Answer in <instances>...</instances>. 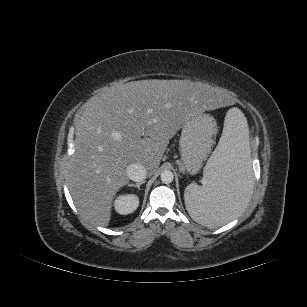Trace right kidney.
Returning <instances> with one entry per match:
<instances>
[{"instance_id": "ca27d5eb", "label": "right kidney", "mask_w": 307, "mask_h": 307, "mask_svg": "<svg viewBox=\"0 0 307 307\" xmlns=\"http://www.w3.org/2000/svg\"><path fill=\"white\" fill-rule=\"evenodd\" d=\"M139 205V198L134 194H123L117 197L114 206L117 213L127 215L134 212Z\"/></svg>"}]
</instances>
